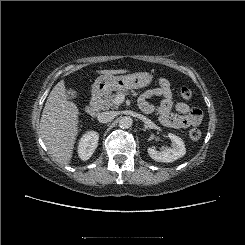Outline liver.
<instances>
[{"mask_svg":"<svg viewBox=\"0 0 245 245\" xmlns=\"http://www.w3.org/2000/svg\"><path fill=\"white\" fill-rule=\"evenodd\" d=\"M103 75L123 74L127 70H101ZM79 109L67 100L64 80L51 90L40 119V134L54 161L68 165L78 135Z\"/></svg>","mask_w":245,"mask_h":245,"instance_id":"liver-1","label":"liver"}]
</instances>
